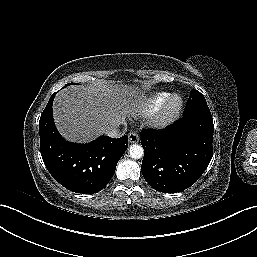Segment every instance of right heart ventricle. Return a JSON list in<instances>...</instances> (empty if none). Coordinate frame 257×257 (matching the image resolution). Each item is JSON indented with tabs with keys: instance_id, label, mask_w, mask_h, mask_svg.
I'll return each mask as SVG.
<instances>
[{
	"instance_id": "1",
	"label": "right heart ventricle",
	"mask_w": 257,
	"mask_h": 257,
	"mask_svg": "<svg viewBox=\"0 0 257 257\" xmlns=\"http://www.w3.org/2000/svg\"><path fill=\"white\" fill-rule=\"evenodd\" d=\"M169 96L170 94L167 92L156 93L155 95L147 99L144 107H142V109L140 110V113L145 114L158 110L168 99Z\"/></svg>"
}]
</instances>
